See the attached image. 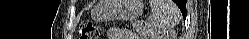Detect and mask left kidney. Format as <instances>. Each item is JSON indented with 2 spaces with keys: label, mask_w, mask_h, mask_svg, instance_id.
<instances>
[{
  "label": "left kidney",
  "mask_w": 249,
  "mask_h": 39,
  "mask_svg": "<svg viewBox=\"0 0 249 39\" xmlns=\"http://www.w3.org/2000/svg\"><path fill=\"white\" fill-rule=\"evenodd\" d=\"M164 36V37H163ZM162 37H156L154 34H151V39H169V35H163Z\"/></svg>",
  "instance_id": "left-kidney-1"
}]
</instances>
